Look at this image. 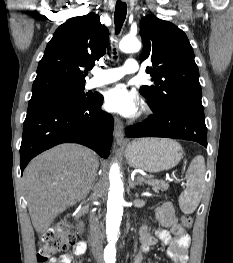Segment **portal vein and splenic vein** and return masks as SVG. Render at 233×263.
<instances>
[{
	"label": "portal vein and splenic vein",
	"mask_w": 233,
	"mask_h": 263,
	"mask_svg": "<svg viewBox=\"0 0 233 263\" xmlns=\"http://www.w3.org/2000/svg\"><path fill=\"white\" fill-rule=\"evenodd\" d=\"M138 180H139V181H143V178L140 177V178H138Z\"/></svg>",
	"instance_id": "portal-vein-and-splenic-vein-1"
}]
</instances>
